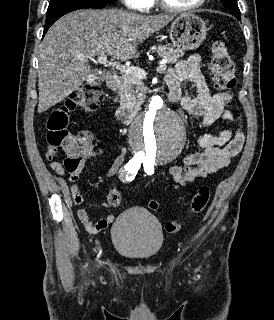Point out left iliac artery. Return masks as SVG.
Here are the masks:
<instances>
[{
	"mask_svg": "<svg viewBox=\"0 0 274 320\" xmlns=\"http://www.w3.org/2000/svg\"><path fill=\"white\" fill-rule=\"evenodd\" d=\"M144 170L148 175H152L154 173V162L145 160Z\"/></svg>",
	"mask_w": 274,
	"mask_h": 320,
	"instance_id": "1",
	"label": "left iliac artery"
}]
</instances>
